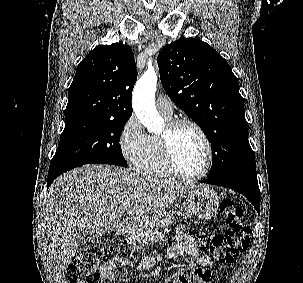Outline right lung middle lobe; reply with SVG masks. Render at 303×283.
<instances>
[{
	"instance_id": "obj_1",
	"label": "right lung middle lobe",
	"mask_w": 303,
	"mask_h": 283,
	"mask_svg": "<svg viewBox=\"0 0 303 283\" xmlns=\"http://www.w3.org/2000/svg\"><path fill=\"white\" fill-rule=\"evenodd\" d=\"M127 120L89 115L65 118V128L49 169L84 164L127 167L119 144Z\"/></svg>"
}]
</instances>
